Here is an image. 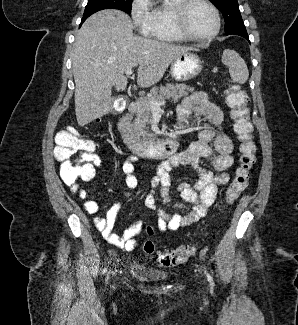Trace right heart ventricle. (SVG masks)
I'll return each mask as SVG.
<instances>
[{
	"mask_svg": "<svg viewBox=\"0 0 298 325\" xmlns=\"http://www.w3.org/2000/svg\"><path fill=\"white\" fill-rule=\"evenodd\" d=\"M171 2V0L162 1L153 7L152 23L158 25L162 29V41H176V43H178L182 42L183 40L173 33L170 26L169 5Z\"/></svg>",
	"mask_w": 298,
	"mask_h": 325,
	"instance_id": "obj_1",
	"label": "right heart ventricle"
}]
</instances>
